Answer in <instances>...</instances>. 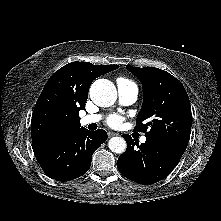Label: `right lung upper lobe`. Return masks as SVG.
<instances>
[{"instance_id": "right-lung-upper-lobe-1", "label": "right lung upper lobe", "mask_w": 221, "mask_h": 221, "mask_svg": "<svg viewBox=\"0 0 221 221\" xmlns=\"http://www.w3.org/2000/svg\"><path fill=\"white\" fill-rule=\"evenodd\" d=\"M119 65L72 62L56 71L38 98L31 121L33 151L46 149L80 129V110L85 109L92 81Z\"/></svg>"}]
</instances>
